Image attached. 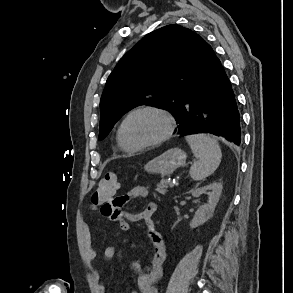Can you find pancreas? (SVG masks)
Wrapping results in <instances>:
<instances>
[{"instance_id":"obj_1","label":"pancreas","mask_w":293,"mask_h":293,"mask_svg":"<svg viewBox=\"0 0 293 293\" xmlns=\"http://www.w3.org/2000/svg\"><path fill=\"white\" fill-rule=\"evenodd\" d=\"M170 185L169 181L167 179H162L156 187V191L160 194H166L168 186Z\"/></svg>"}]
</instances>
